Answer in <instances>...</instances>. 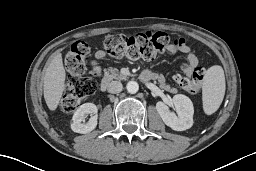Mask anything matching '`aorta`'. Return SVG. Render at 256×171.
<instances>
[{
    "label": "aorta",
    "instance_id": "1",
    "mask_svg": "<svg viewBox=\"0 0 256 171\" xmlns=\"http://www.w3.org/2000/svg\"><path fill=\"white\" fill-rule=\"evenodd\" d=\"M126 88H127V91H128L129 93L135 94V93H137L138 90H139V85H138V83L135 82V81H129V82L127 83Z\"/></svg>",
    "mask_w": 256,
    "mask_h": 171
}]
</instances>
